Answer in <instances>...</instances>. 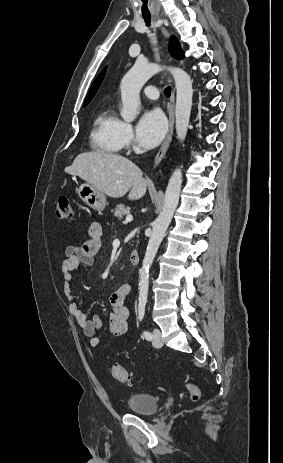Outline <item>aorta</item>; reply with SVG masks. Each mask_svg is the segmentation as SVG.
<instances>
[{
    "instance_id": "762f6f07",
    "label": "aorta",
    "mask_w": 283,
    "mask_h": 463,
    "mask_svg": "<svg viewBox=\"0 0 283 463\" xmlns=\"http://www.w3.org/2000/svg\"><path fill=\"white\" fill-rule=\"evenodd\" d=\"M168 70L176 86L175 127L177 138L185 140L192 107V81L190 76L177 67L160 66L156 63L136 61L134 66L123 77L120 89L122 99L121 116L124 121H133L140 112V91L143 85L155 74ZM182 185V170L176 168L172 173L164 198V206L158 218L153 222L142 268L140 269L139 297L147 299L149 288V270L156 256L158 248L164 238L165 232L172 220L178 206Z\"/></svg>"
}]
</instances>
